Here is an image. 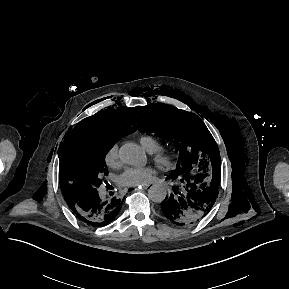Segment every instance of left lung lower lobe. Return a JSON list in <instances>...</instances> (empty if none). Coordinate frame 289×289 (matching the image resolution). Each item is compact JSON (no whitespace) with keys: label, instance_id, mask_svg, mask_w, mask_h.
I'll return each mask as SVG.
<instances>
[{"label":"left lung lower lobe","instance_id":"0a47b994","mask_svg":"<svg viewBox=\"0 0 289 289\" xmlns=\"http://www.w3.org/2000/svg\"><path fill=\"white\" fill-rule=\"evenodd\" d=\"M174 194L162 201L164 216L177 225H191L206 216L217 197L219 178L195 175L181 180Z\"/></svg>","mask_w":289,"mask_h":289}]
</instances>
